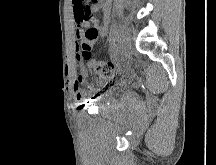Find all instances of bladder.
<instances>
[{
	"label": "bladder",
	"instance_id": "1",
	"mask_svg": "<svg viewBox=\"0 0 216 165\" xmlns=\"http://www.w3.org/2000/svg\"><path fill=\"white\" fill-rule=\"evenodd\" d=\"M104 85L105 86H110L111 85V82L110 81H105L104 82ZM114 94V89H111V88H106L104 90V92H102L99 97L97 98V104L99 106H103L104 104H106V102L108 100H110L111 96Z\"/></svg>",
	"mask_w": 216,
	"mask_h": 165
}]
</instances>
